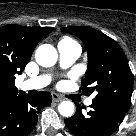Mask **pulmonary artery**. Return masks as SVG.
<instances>
[{"instance_id":"pulmonary-artery-1","label":"pulmonary artery","mask_w":136,"mask_h":136,"mask_svg":"<svg viewBox=\"0 0 136 136\" xmlns=\"http://www.w3.org/2000/svg\"><path fill=\"white\" fill-rule=\"evenodd\" d=\"M59 60L62 67L66 68L72 65L80 56V46L72 40H62L58 43ZM50 83V77L47 75L38 76L25 80L21 83L22 90L41 89ZM86 105L92 104V98L85 101Z\"/></svg>"}]
</instances>
